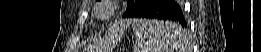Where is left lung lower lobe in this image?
I'll use <instances>...</instances> for the list:
<instances>
[{
	"mask_svg": "<svg viewBox=\"0 0 261 52\" xmlns=\"http://www.w3.org/2000/svg\"><path fill=\"white\" fill-rule=\"evenodd\" d=\"M136 17L167 20L171 22L175 28L186 26L181 8L174 0H154L147 7L141 10ZM173 33L174 32H171L169 34L172 35Z\"/></svg>",
	"mask_w": 261,
	"mask_h": 52,
	"instance_id": "0a47b994",
	"label": "left lung lower lobe"
}]
</instances>
